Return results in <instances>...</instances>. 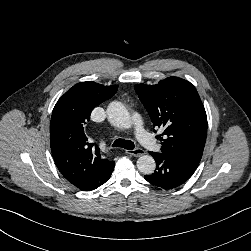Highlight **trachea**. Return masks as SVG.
<instances>
[{
	"label": "trachea",
	"instance_id": "trachea-1",
	"mask_svg": "<svg viewBox=\"0 0 251 251\" xmlns=\"http://www.w3.org/2000/svg\"><path fill=\"white\" fill-rule=\"evenodd\" d=\"M112 147H121V148H124V149H127V150H133L135 145L130 140L117 139L112 144Z\"/></svg>",
	"mask_w": 251,
	"mask_h": 251
}]
</instances>
